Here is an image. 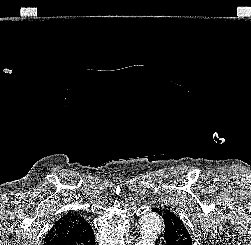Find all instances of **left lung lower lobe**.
<instances>
[{"mask_svg": "<svg viewBox=\"0 0 251 245\" xmlns=\"http://www.w3.org/2000/svg\"><path fill=\"white\" fill-rule=\"evenodd\" d=\"M154 212L159 213L158 210L152 209ZM192 245L190 243L185 242L181 239L172 229H166L161 234L158 241H156V245Z\"/></svg>", "mask_w": 251, "mask_h": 245, "instance_id": "0a47b994", "label": "left lung lower lobe"}]
</instances>
